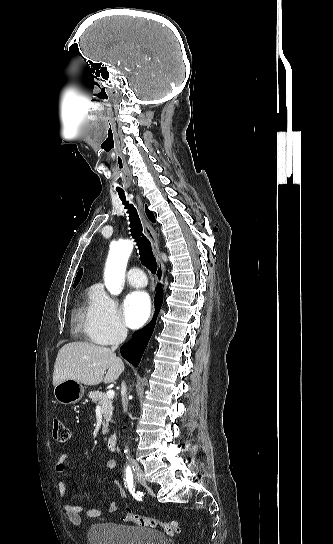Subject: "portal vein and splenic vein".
I'll use <instances>...</instances> for the list:
<instances>
[{
    "label": "portal vein and splenic vein",
    "instance_id": "portal-vein-and-splenic-vein-1",
    "mask_svg": "<svg viewBox=\"0 0 333 544\" xmlns=\"http://www.w3.org/2000/svg\"><path fill=\"white\" fill-rule=\"evenodd\" d=\"M114 395H115V392H114L113 390H108V391L106 392V396H107L108 398H110V399H112V398L114 397Z\"/></svg>",
    "mask_w": 333,
    "mask_h": 544
}]
</instances>
